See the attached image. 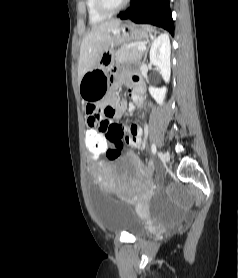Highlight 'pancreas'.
<instances>
[{"instance_id": "cf45deb5", "label": "pancreas", "mask_w": 238, "mask_h": 278, "mask_svg": "<svg viewBox=\"0 0 238 278\" xmlns=\"http://www.w3.org/2000/svg\"><path fill=\"white\" fill-rule=\"evenodd\" d=\"M138 43H133L132 45H123L115 53V62H126L134 61L141 58L143 52L137 49Z\"/></svg>"}]
</instances>
